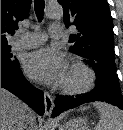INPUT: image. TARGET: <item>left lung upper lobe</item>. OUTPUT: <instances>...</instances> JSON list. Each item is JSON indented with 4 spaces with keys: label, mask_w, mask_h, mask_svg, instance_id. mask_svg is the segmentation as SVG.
<instances>
[{
    "label": "left lung upper lobe",
    "mask_w": 123,
    "mask_h": 130,
    "mask_svg": "<svg viewBox=\"0 0 123 130\" xmlns=\"http://www.w3.org/2000/svg\"><path fill=\"white\" fill-rule=\"evenodd\" d=\"M64 9L66 27L75 26L70 50L96 73V84L120 91L115 67L113 20L106 0H58Z\"/></svg>",
    "instance_id": "5c2ea615"
}]
</instances>
